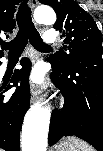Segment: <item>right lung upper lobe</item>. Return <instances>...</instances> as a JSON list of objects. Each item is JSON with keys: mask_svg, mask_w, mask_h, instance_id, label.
<instances>
[{"mask_svg": "<svg viewBox=\"0 0 103 151\" xmlns=\"http://www.w3.org/2000/svg\"><path fill=\"white\" fill-rule=\"evenodd\" d=\"M20 0H0V36H7L13 32L16 22V5ZM1 39V38H0ZM2 51H0V54Z\"/></svg>", "mask_w": 103, "mask_h": 151, "instance_id": "obj_1", "label": "right lung upper lobe"}]
</instances>
